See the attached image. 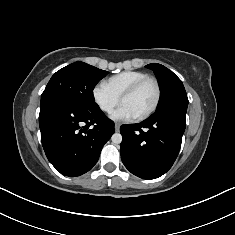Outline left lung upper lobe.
I'll list each match as a JSON object with an SVG mask.
<instances>
[{"instance_id":"left-lung-upper-lobe-1","label":"left lung upper lobe","mask_w":235,"mask_h":235,"mask_svg":"<svg viewBox=\"0 0 235 235\" xmlns=\"http://www.w3.org/2000/svg\"><path fill=\"white\" fill-rule=\"evenodd\" d=\"M146 67L154 71L161 88L160 103L153 115L172 110L186 113L188 98L182 81L171 70L161 64L151 63Z\"/></svg>"}]
</instances>
